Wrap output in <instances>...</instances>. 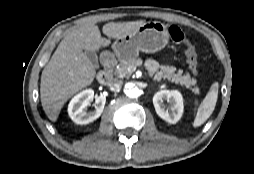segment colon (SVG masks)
I'll return each mask as SVG.
<instances>
[{"label": "colon", "instance_id": "1", "mask_svg": "<svg viewBox=\"0 0 254 174\" xmlns=\"http://www.w3.org/2000/svg\"><path fill=\"white\" fill-rule=\"evenodd\" d=\"M169 35L173 42L183 44L185 46L189 68L194 74H197L199 71L198 53L193 44L178 26H171L169 29Z\"/></svg>", "mask_w": 254, "mask_h": 174}]
</instances>
